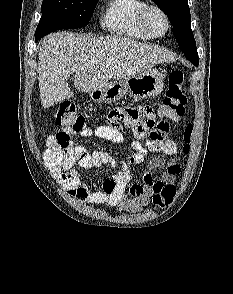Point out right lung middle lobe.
<instances>
[{
	"instance_id": "1",
	"label": "right lung middle lobe",
	"mask_w": 233,
	"mask_h": 294,
	"mask_svg": "<svg viewBox=\"0 0 233 294\" xmlns=\"http://www.w3.org/2000/svg\"><path fill=\"white\" fill-rule=\"evenodd\" d=\"M98 0H44L42 17L35 32V39L58 29L87 26Z\"/></svg>"
}]
</instances>
